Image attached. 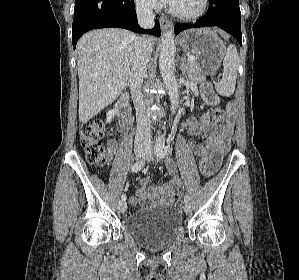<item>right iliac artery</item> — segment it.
<instances>
[{
    "mask_svg": "<svg viewBox=\"0 0 299 280\" xmlns=\"http://www.w3.org/2000/svg\"><path fill=\"white\" fill-rule=\"evenodd\" d=\"M143 166H144V161L141 160V161L134 163L131 166V170H132V172H138L143 168ZM121 199H122V201H126L127 196L125 194H122Z\"/></svg>",
    "mask_w": 299,
    "mask_h": 280,
    "instance_id": "right-iliac-artery-1",
    "label": "right iliac artery"
}]
</instances>
